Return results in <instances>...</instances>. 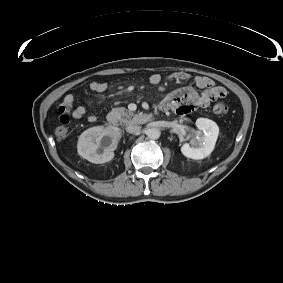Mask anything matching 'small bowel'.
<instances>
[{
    "label": "small bowel",
    "instance_id": "small-bowel-1",
    "mask_svg": "<svg viewBox=\"0 0 283 283\" xmlns=\"http://www.w3.org/2000/svg\"><path fill=\"white\" fill-rule=\"evenodd\" d=\"M190 78V75L186 72L179 71L172 75L171 81L175 83H181ZM149 82L153 85L162 84V77L158 73H153L149 76ZM194 84L196 88L201 91H196L193 87L179 88L170 94H168L162 101L163 108H171L178 114L183 115L189 113L197 108H206L213 101L224 98L226 96V90L221 86H216L214 81L207 76H196L194 78ZM107 83L100 81H93L90 84V89L97 93H102L107 89ZM60 113V119L64 117L73 119H80L86 113V108L76 103V99L73 94H67L61 104L58 107ZM97 117L95 115H89L88 121L95 122Z\"/></svg>",
    "mask_w": 283,
    "mask_h": 283
}]
</instances>
